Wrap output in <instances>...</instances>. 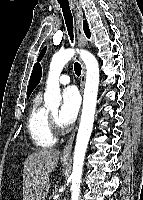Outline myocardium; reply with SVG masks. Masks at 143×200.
I'll list each match as a JSON object with an SVG mask.
<instances>
[{"label":"myocardium","instance_id":"f54148a6","mask_svg":"<svg viewBox=\"0 0 143 200\" xmlns=\"http://www.w3.org/2000/svg\"><path fill=\"white\" fill-rule=\"evenodd\" d=\"M49 120H50L51 129H53L55 132H59L60 127H59V125L56 121V118L53 114H49Z\"/></svg>","mask_w":143,"mask_h":200}]
</instances>
